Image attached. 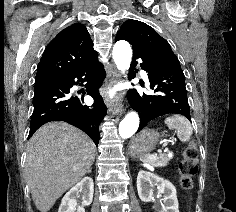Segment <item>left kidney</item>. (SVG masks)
<instances>
[{"mask_svg":"<svg viewBox=\"0 0 236 212\" xmlns=\"http://www.w3.org/2000/svg\"><path fill=\"white\" fill-rule=\"evenodd\" d=\"M157 186L160 193L164 194L161 212H179L177 192L174 185L151 172L141 170L137 176V191L143 202H150L154 199L153 189Z\"/></svg>","mask_w":236,"mask_h":212,"instance_id":"obj_1","label":"left kidney"}]
</instances>
